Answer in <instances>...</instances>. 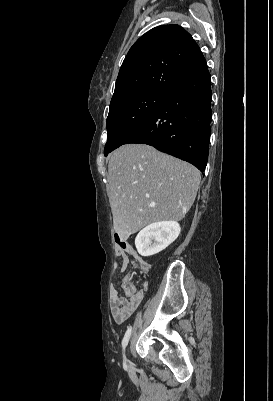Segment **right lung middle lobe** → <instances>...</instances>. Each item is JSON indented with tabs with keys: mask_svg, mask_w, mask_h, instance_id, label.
<instances>
[{
	"mask_svg": "<svg viewBox=\"0 0 273 401\" xmlns=\"http://www.w3.org/2000/svg\"><path fill=\"white\" fill-rule=\"evenodd\" d=\"M164 92L142 91L110 103L104 155L118 148L163 101Z\"/></svg>",
	"mask_w": 273,
	"mask_h": 401,
	"instance_id": "obj_1",
	"label": "right lung middle lobe"
}]
</instances>
